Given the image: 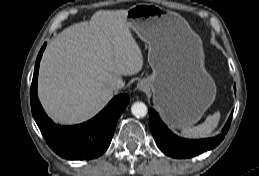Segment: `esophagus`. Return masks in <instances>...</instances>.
Returning <instances> with one entry per match:
<instances>
[{
  "mask_svg": "<svg viewBox=\"0 0 259 176\" xmlns=\"http://www.w3.org/2000/svg\"><path fill=\"white\" fill-rule=\"evenodd\" d=\"M137 88H138L139 90H145L146 85H145L143 82H139V83L137 84Z\"/></svg>",
  "mask_w": 259,
  "mask_h": 176,
  "instance_id": "1",
  "label": "esophagus"
}]
</instances>
